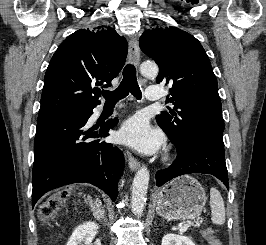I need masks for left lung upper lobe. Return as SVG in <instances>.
I'll list each match as a JSON object with an SVG mask.
<instances>
[{
  "mask_svg": "<svg viewBox=\"0 0 266 245\" xmlns=\"http://www.w3.org/2000/svg\"><path fill=\"white\" fill-rule=\"evenodd\" d=\"M141 50L159 66L156 82L170 89L174 110L156 116L159 126L176 147L196 131L223 135L218 84L209 57L200 42L176 27L146 30Z\"/></svg>",
  "mask_w": 266,
  "mask_h": 245,
  "instance_id": "left-lung-upper-lobe-1",
  "label": "left lung upper lobe"
}]
</instances>
